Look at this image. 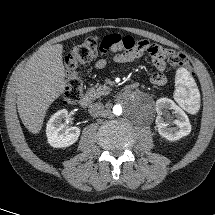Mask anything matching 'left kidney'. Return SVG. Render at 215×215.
Here are the masks:
<instances>
[{"mask_svg": "<svg viewBox=\"0 0 215 215\" xmlns=\"http://www.w3.org/2000/svg\"><path fill=\"white\" fill-rule=\"evenodd\" d=\"M155 106L157 111L156 125L162 137L169 141H176L190 134L192 128L189 118L173 100L160 98L156 101ZM168 110L173 111L175 120L169 117ZM171 123L175 124V127H170Z\"/></svg>", "mask_w": 215, "mask_h": 215, "instance_id": "left-kidney-1", "label": "left kidney"}]
</instances>
